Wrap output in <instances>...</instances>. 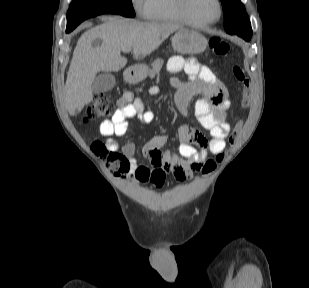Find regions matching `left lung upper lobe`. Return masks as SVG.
I'll return each mask as SVG.
<instances>
[{"label":"left lung upper lobe","mask_w":309,"mask_h":288,"mask_svg":"<svg viewBox=\"0 0 309 288\" xmlns=\"http://www.w3.org/2000/svg\"><path fill=\"white\" fill-rule=\"evenodd\" d=\"M224 11V28L227 33L251 29L250 20L240 0H221Z\"/></svg>","instance_id":"obj_1"}]
</instances>
